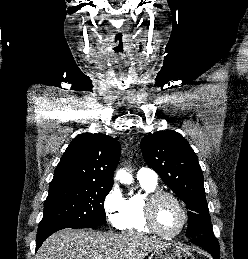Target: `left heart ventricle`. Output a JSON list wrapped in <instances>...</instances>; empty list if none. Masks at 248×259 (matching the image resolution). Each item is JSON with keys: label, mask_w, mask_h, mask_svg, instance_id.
<instances>
[{"label": "left heart ventricle", "mask_w": 248, "mask_h": 259, "mask_svg": "<svg viewBox=\"0 0 248 259\" xmlns=\"http://www.w3.org/2000/svg\"><path fill=\"white\" fill-rule=\"evenodd\" d=\"M156 221L165 233L177 231L182 222V213L177 204L168 197L159 200L156 206Z\"/></svg>", "instance_id": "obj_1"}]
</instances>
